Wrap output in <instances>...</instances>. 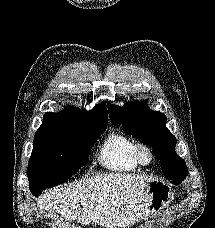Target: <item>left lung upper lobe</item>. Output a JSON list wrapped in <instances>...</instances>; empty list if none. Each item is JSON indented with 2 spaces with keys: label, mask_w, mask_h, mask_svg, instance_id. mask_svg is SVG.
<instances>
[{
  "label": "left lung upper lobe",
  "mask_w": 215,
  "mask_h": 228,
  "mask_svg": "<svg viewBox=\"0 0 215 228\" xmlns=\"http://www.w3.org/2000/svg\"><path fill=\"white\" fill-rule=\"evenodd\" d=\"M110 119L114 125L122 124L124 133L153 147V153L160 160L163 173L173 182H182L188 168L175 153L176 139L166 128V117L150 110L147 101L127 103L123 107L107 103Z\"/></svg>",
  "instance_id": "obj_1"
}]
</instances>
